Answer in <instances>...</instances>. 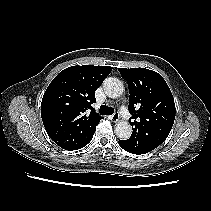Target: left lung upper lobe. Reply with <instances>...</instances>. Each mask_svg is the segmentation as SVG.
<instances>
[{"label":"left lung upper lobe","instance_id":"left-lung-upper-lobe-1","mask_svg":"<svg viewBox=\"0 0 211 211\" xmlns=\"http://www.w3.org/2000/svg\"><path fill=\"white\" fill-rule=\"evenodd\" d=\"M128 83L132 135L126 140L134 146L157 148L165 141L175 119L172 93L155 71L145 68H119Z\"/></svg>","mask_w":211,"mask_h":211}]
</instances>
